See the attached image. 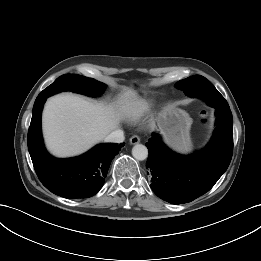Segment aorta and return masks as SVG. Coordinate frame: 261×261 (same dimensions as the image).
<instances>
[{
  "label": "aorta",
  "instance_id": "762f6f07",
  "mask_svg": "<svg viewBox=\"0 0 261 261\" xmlns=\"http://www.w3.org/2000/svg\"><path fill=\"white\" fill-rule=\"evenodd\" d=\"M132 155L136 160L143 161L148 157V149L145 145L136 144L132 148Z\"/></svg>",
  "mask_w": 261,
  "mask_h": 261
}]
</instances>
